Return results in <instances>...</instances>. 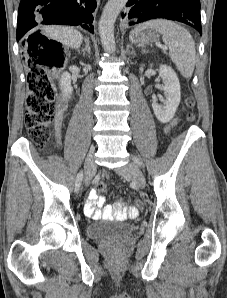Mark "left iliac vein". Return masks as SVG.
I'll return each instance as SVG.
<instances>
[{"mask_svg":"<svg viewBox=\"0 0 227 298\" xmlns=\"http://www.w3.org/2000/svg\"><path fill=\"white\" fill-rule=\"evenodd\" d=\"M116 171L125 177H130L141 188L145 187L146 181L143 173L136 163H128L125 166L117 168Z\"/></svg>","mask_w":227,"mask_h":298,"instance_id":"4c4485c4","label":"left iliac vein"}]
</instances>
